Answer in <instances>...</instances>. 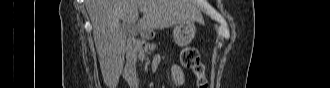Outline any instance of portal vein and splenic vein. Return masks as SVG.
Returning a JSON list of instances; mask_svg holds the SVG:
<instances>
[{
    "label": "portal vein and splenic vein",
    "instance_id": "portal-vein-and-splenic-vein-1",
    "mask_svg": "<svg viewBox=\"0 0 330 88\" xmlns=\"http://www.w3.org/2000/svg\"><path fill=\"white\" fill-rule=\"evenodd\" d=\"M140 10H141L142 12H145V11H146V9H145V8H141Z\"/></svg>",
    "mask_w": 330,
    "mask_h": 88
}]
</instances>
